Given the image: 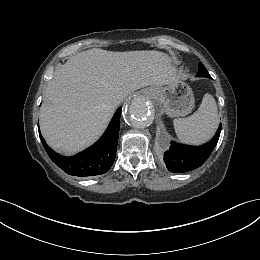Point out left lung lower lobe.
<instances>
[{"mask_svg": "<svg viewBox=\"0 0 260 260\" xmlns=\"http://www.w3.org/2000/svg\"><path fill=\"white\" fill-rule=\"evenodd\" d=\"M220 132L221 125L210 142L196 147L172 141L169 150L164 154V162L168 170L175 173H184L200 167L215 148Z\"/></svg>", "mask_w": 260, "mask_h": 260, "instance_id": "obj_1", "label": "left lung lower lobe"}]
</instances>
